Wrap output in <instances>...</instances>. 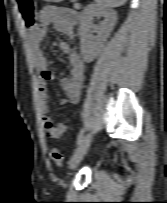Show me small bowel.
Here are the masks:
<instances>
[{
	"label": "small bowel",
	"mask_w": 167,
	"mask_h": 203,
	"mask_svg": "<svg viewBox=\"0 0 167 203\" xmlns=\"http://www.w3.org/2000/svg\"><path fill=\"white\" fill-rule=\"evenodd\" d=\"M38 19L39 24L34 30L29 32L28 44L34 65L39 74L38 91L43 114L42 126L44 133L47 138L56 139L67 130V124L62 122L58 125H54L51 118L48 116V83L53 78V74L45 56L42 43L47 27L50 25H53L58 32L68 37V41L60 44V48L66 54L69 64V76L60 81L61 89L65 94V99L61 101V104H77L80 98L85 74L84 62L73 45V39L76 35L75 27L79 21V15L72 9L47 6L40 11Z\"/></svg>",
	"instance_id": "1"
}]
</instances>
